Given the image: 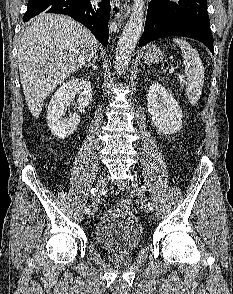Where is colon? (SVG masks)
<instances>
[{
	"label": "colon",
	"mask_w": 233,
	"mask_h": 294,
	"mask_svg": "<svg viewBox=\"0 0 233 294\" xmlns=\"http://www.w3.org/2000/svg\"><path fill=\"white\" fill-rule=\"evenodd\" d=\"M119 206L122 209L129 210L132 207V202L129 199H124V200L120 201Z\"/></svg>",
	"instance_id": "1"
}]
</instances>
